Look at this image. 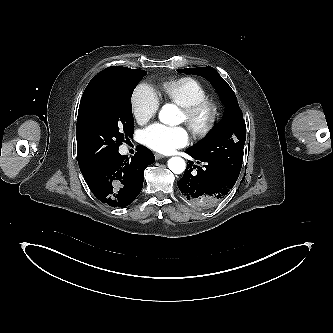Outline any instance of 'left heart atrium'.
Here are the masks:
<instances>
[{"label": "left heart atrium", "instance_id": "left-heart-atrium-1", "mask_svg": "<svg viewBox=\"0 0 333 333\" xmlns=\"http://www.w3.org/2000/svg\"><path fill=\"white\" fill-rule=\"evenodd\" d=\"M141 140L144 145L160 153H171L184 147L189 142L188 132L184 127H169L153 124L143 130Z\"/></svg>", "mask_w": 333, "mask_h": 333}]
</instances>
